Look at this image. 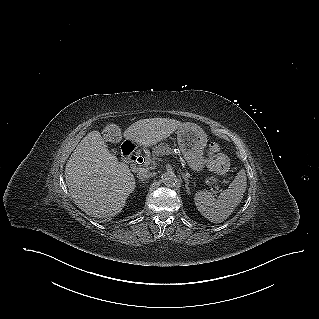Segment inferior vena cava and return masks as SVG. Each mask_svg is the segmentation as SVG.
Segmentation results:
<instances>
[{"label": "inferior vena cava", "mask_w": 319, "mask_h": 319, "mask_svg": "<svg viewBox=\"0 0 319 319\" xmlns=\"http://www.w3.org/2000/svg\"><path fill=\"white\" fill-rule=\"evenodd\" d=\"M153 176H154V173L147 170V169L140 170L137 174V178H139V179H147V178H151Z\"/></svg>", "instance_id": "602c4592"}]
</instances>
